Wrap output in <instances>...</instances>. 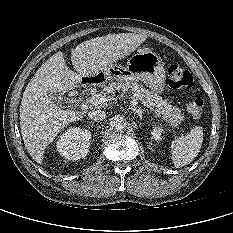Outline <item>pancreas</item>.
<instances>
[{
    "instance_id": "obj_1",
    "label": "pancreas",
    "mask_w": 233,
    "mask_h": 233,
    "mask_svg": "<svg viewBox=\"0 0 233 233\" xmlns=\"http://www.w3.org/2000/svg\"><path fill=\"white\" fill-rule=\"evenodd\" d=\"M104 89L112 94L123 90L132 91L134 98L140 100L144 106L150 108L157 117H162L163 121L168 123L169 126L177 127L184 119L177 106L169 104L159 95L149 89L143 88L142 85L136 82H111Z\"/></svg>"
}]
</instances>
